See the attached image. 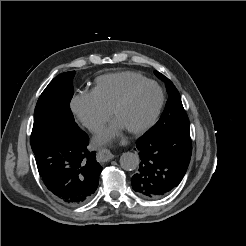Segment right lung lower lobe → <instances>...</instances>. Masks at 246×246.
<instances>
[{
    "instance_id": "right-lung-lower-lobe-1",
    "label": "right lung lower lobe",
    "mask_w": 246,
    "mask_h": 246,
    "mask_svg": "<svg viewBox=\"0 0 246 246\" xmlns=\"http://www.w3.org/2000/svg\"><path fill=\"white\" fill-rule=\"evenodd\" d=\"M88 136L77 124L56 130L32 147L38 172L55 197L69 205L81 204L98 187L102 167L89 152Z\"/></svg>"
}]
</instances>
